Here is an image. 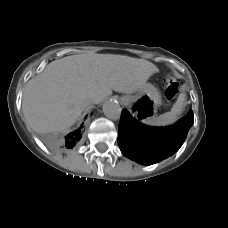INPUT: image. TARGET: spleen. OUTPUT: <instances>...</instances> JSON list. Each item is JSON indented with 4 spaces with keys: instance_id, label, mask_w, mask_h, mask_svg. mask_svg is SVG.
I'll use <instances>...</instances> for the list:
<instances>
[{
    "instance_id": "3e777b00",
    "label": "spleen",
    "mask_w": 228,
    "mask_h": 228,
    "mask_svg": "<svg viewBox=\"0 0 228 228\" xmlns=\"http://www.w3.org/2000/svg\"><path fill=\"white\" fill-rule=\"evenodd\" d=\"M185 100L186 94L181 93L178 96L177 101L174 103L171 111L161 114L158 117H153L146 122L151 125H169L174 123L178 119V115H180L183 110Z\"/></svg>"
}]
</instances>
